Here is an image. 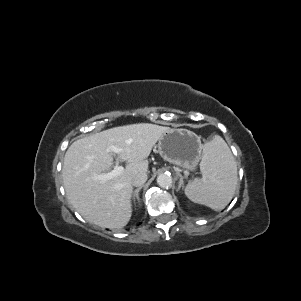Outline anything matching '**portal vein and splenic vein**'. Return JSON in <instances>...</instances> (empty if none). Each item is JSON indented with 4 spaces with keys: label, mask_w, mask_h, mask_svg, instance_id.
Masks as SVG:
<instances>
[{
    "label": "portal vein and splenic vein",
    "mask_w": 301,
    "mask_h": 301,
    "mask_svg": "<svg viewBox=\"0 0 301 301\" xmlns=\"http://www.w3.org/2000/svg\"><path fill=\"white\" fill-rule=\"evenodd\" d=\"M108 151L114 152L115 154H119L121 152V149L116 146H110L108 147ZM124 171V168L119 165H115L114 169L108 173H103L98 176L99 180L107 181L109 179H112L116 176H119Z\"/></svg>",
    "instance_id": "18ae733b"
}]
</instances>
